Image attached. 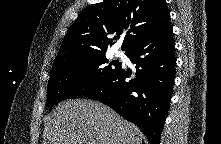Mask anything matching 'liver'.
Returning a JSON list of instances; mask_svg holds the SVG:
<instances>
[{
	"label": "liver",
	"instance_id": "obj_1",
	"mask_svg": "<svg viewBox=\"0 0 221 144\" xmlns=\"http://www.w3.org/2000/svg\"><path fill=\"white\" fill-rule=\"evenodd\" d=\"M44 144H142V133L108 106L93 100L62 102L44 128Z\"/></svg>",
	"mask_w": 221,
	"mask_h": 144
}]
</instances>
